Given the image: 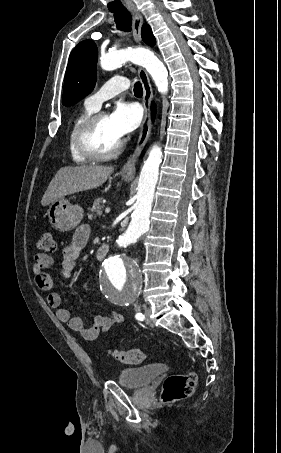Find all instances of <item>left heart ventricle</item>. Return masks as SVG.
I'll return each instance as SVG.
<instances>
[{
	"instance_id": "obj_1",
	"label": "left heart ventricle",
	"mask_w": 281,
	"mask_h": 453,
	"mask_svg": "<svg viewBox=\"0 0 281 453\" xmlns=\"http://www.w3.org/2000/svg\"><path fill=\"white\" fill-rule=\"evenodd\" d=\"M121 138L114 132L108 116L103 119L97 126L93 143L97 150L101 152L111 151Z\"/></svg>"
}]
</instances>
